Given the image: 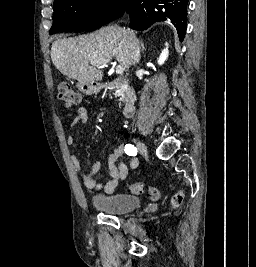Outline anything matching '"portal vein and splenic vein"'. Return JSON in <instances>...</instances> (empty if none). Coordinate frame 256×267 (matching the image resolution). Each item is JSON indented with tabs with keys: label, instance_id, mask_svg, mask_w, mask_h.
Listing matches in <instances>:
<instances>
[{
	"label": "portal vein and splenic vein",
	"instance_id": "18ae733b",
	"mask_svg": "<svg viewBox=\"0 0 256 267\" xmlns=\"http://www.w3.org/2000/svg\"><path fill=\"white\" fill-rule=\"evenodd\" d=\"M91 64H97V66H107V64H109V62H95V60H91ZM116 70V74H123L125 68H123V66H116L115 68Z\"/></svg>",
	"mask_w": 256,
	"mask_h": 267
}]
</instances>
